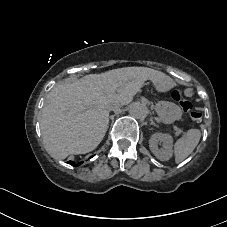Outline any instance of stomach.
<instances>
[{"instance_id":"1","label":"stomach","mask_w":227,"mask_h":227,"mask_svg":"<svg viewBox=\"0 0 227 227\" xmlns=\"http://www.w3.org/2000/svg\"><path fill=\"white\" fill-rule=\"evenodd\" d=\"M155 110L164 124H172L182 116L181 108L169 101H159L155 105Z\"/></svg>"}]
</instances>
